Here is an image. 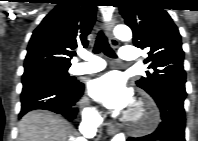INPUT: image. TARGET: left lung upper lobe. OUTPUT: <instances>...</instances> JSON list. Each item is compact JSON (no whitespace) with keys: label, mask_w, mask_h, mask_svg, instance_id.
Wrapping results in <instances>:
<instances>
[{"label":"left lung upper lobe","mask_w":198,"mask_h":141,"mask_svg":"<svg viewBox=\"0 0 198 141\" xmlns=\"http://www.w3.org/2000/svg\"><path fill=\"white\" fill-rule=\"evenodd\" d=\"M160 5L157 0H124L119 7L134 45L149 50L145 63L153 70L136 84L152 97L164 89L185 91L186 82L180 33Z\"/></svg>","instance_id":"1"}]
</instances>
